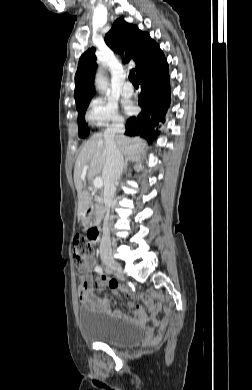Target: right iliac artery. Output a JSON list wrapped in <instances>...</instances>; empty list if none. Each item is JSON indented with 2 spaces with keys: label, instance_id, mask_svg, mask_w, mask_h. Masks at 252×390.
Returning a JSON list of instances; mask_svg holds the SVG:
<instances>
[{
  "label": "right iliac artery",
  "instance_id": "1",
  "mask_svg": "<svg viewBox=\"0 0 252 390\" xmlns=\"http://www.w3.org/2000/svg\"><path fill=\"white\" fill-rule=\"evenodd\" d=\"M95 271H96L97 273H102V268H101L100 266H97V267L95 268Z\"/></svg>",
  "mask_w": 252,
  "mask_h": 390
}]
</instances>
